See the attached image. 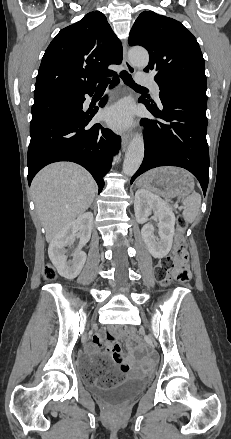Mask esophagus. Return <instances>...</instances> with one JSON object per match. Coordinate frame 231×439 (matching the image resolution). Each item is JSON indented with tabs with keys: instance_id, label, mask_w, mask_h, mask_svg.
Returning a JSON list of instances; mask_svg holds the SVG:
<instances>
[{
	"instance_id": "1",
	"label": "esophagus",
	"mask_w": 231,
	"mask_h": 439,
	"mask_svg": "<svg viewBox=\"0 0 231 439\" xmlns=\"http://www.w3.org/2000/svg\"><path fill=\"white\" fill-rule=\"evenodd\" d=\"M123 64L130 74H135V72H136L135 67L129 62L128 57H127V43H126V41L123 42ZM130 139H131V136L129 134L122 135L123 149H125L127 147L128 143L130 142Z\"/></svg>"
}]
</instances>
